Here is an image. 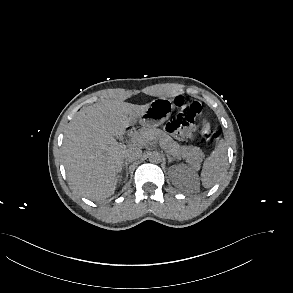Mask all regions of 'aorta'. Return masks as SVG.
I'll use <instances>...</instances> for the list:
<instances>
[{"label": "aorta", "instance_id": "762f6f07", "mask_svg": "<svg viewBox=\"0 0 293 293\" xmlns=\"http://www.w3.org/2000/svg\"><path fill=\"white\" fill-rule=\"evenodd\" d=\"M148 158L153 163H159L162 160V155L158 151L150 152Z\"/></svg>", "mask_w": 293, "mask_h": 293}]
</instances>
